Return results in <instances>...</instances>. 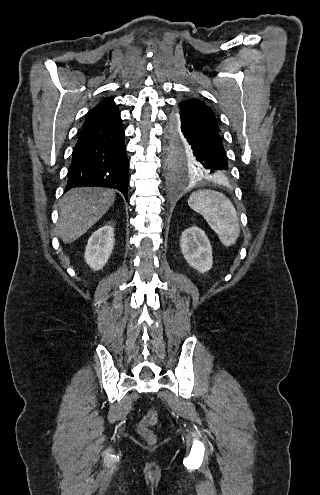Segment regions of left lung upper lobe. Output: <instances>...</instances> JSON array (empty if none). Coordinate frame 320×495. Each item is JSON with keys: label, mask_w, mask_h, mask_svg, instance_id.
<instances>
[{"label": "left lung upper lobe", "mask_w": 320, "mask_h": 495, "mask_svg": "<svg viewBox=\"0 0 320 495\" xmlns=\"http://www.w3.org/2000/svg\"><path fill=\"white\" fill-rule=\"evenodd\" d=\"M179 111L191 112L220 131L214 112L205 102L192 97L181 99L177 111L172 115L173 123L169 132V171L173 175L183 171L192 178H211L209 171L202 164L199 149L193 147L181 132L177 116Z\"/></svg>", "instance_id": "1"}]
</instances>
